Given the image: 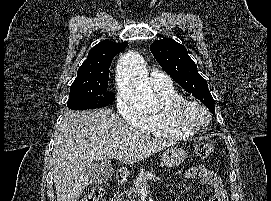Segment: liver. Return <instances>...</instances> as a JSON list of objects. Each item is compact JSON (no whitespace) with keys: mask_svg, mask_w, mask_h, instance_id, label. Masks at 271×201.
<instances>
[{"mask_svg":"<svg viewBox=\"0 0 271 201\" xmlns=\"http://www.w3.org/2000/svg\"><path fill=\"white\" fill-rule=\"evenodd\" d=\"M174 142L152 138L110 108L67 111L55 131L52 172L57 201H77L89 185L87 168L112 158L134 164Z\"/></svg>","mask_w":271,"mask_h":201,"instance_id":"liver-1","label":"liver"}]
</instances>
